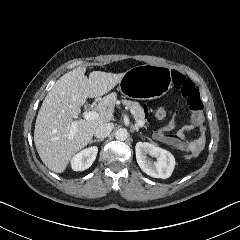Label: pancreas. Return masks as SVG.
<instances>
[{"mask_svg":"<svg viewBox=\"0 0 240 240\" xmlns=\"http://www.w3.org/2000/svg\"><path fill=\"white\" fill-rule=\"evenodd\" d=\"M114 96H115L114 94L109 95V96H107V98L111 99L112 102L114 103L115 102V97ZM121 104H122L123 107L131 109L134 112V114H135L134 118H135L136 121L144 120L143 109L137 101L122 100Z\"/></svg>","mask_w":240,"mask_h":240,"instance_id":"obj_1","label":"pancreas"}]
</instances>
